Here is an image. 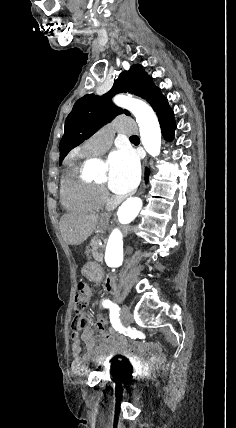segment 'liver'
Returning <instances> with one entry per match:
<instances>
[{
	"label": "liver",
	"mask_w": 236,
	"mask_h": 428,
	"mask_svg": "<svg viewBox=\"0 0 236 428\" xmlns=\"http://www.w3.org/2000/svg\"><path fill=\"white\" fill-rule=\"evenodd\" d=\"M98 220L97 214H64L60 220V232L64 242L70 246L83 244L96 230Z\"/></svg>",
	"instance_id": "6515ba94"
}]
</instances>
